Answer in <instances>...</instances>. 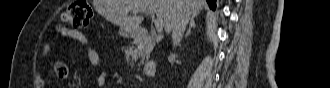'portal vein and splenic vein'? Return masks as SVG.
Masks as SVG:
<instances>
[{"instance_id":"18ae733b","label":"portal vein and splenic vein","mask_w":330,"mask_h":88,"mask_svg":"<svg viewBox=\"0 0 330 88\" xmlns=\"http://www.w3.org/2000/svg\"><path fill=\"white\" fill-rule=\"evenodd\" d=\"M134 12H146L148 11L152 16H154V14L156 13V10L154 9H139V8H134L133 9ZM155 28L157 30L158 33L162 32L163 30V20L160 17H157V19L155 20Z\"/></svg>"}]
</instances>
